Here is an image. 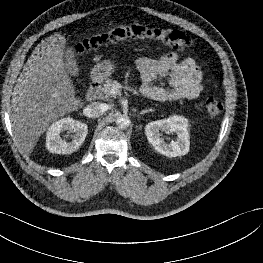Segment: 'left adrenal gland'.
<instances>
[{"instance_id": "a2214340", "label": "left adrenal gland", "mask_w": 263, "mask_h": 263, "mask_svg": "<svg viewBox=\"0 0 263 263\" xmlns=\"http://www.w3.org/2000/svg\"><path fill=\"white\" fill-rule=\"evenodd\" d=\"M150 111H153L152 109H146V110H143L140 112V114H144V113H147V112H150Z\"/></svg>"}]
</instances>
